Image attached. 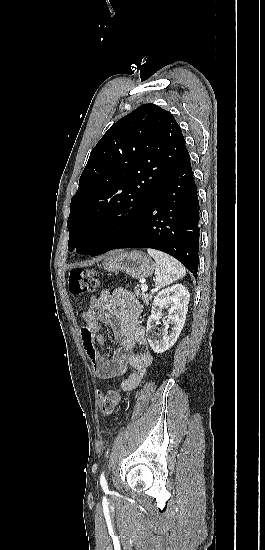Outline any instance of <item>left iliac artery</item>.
<instances>
[{
    "label": "left iliac artery",
    "instance_id": "44dca946",
    "mask_svg": "<svg viewBox=\"0 0 265 550\" xmlns=\"http://www.w3.org/2000/svg\"><path fill=\"white\" fill-rule=\"evenodd\" d=\"M100 483H101V485H106L107 484L105 476H104V472H102V474H101Z\"/></svg>",
    "mask_w": 265,
    "mask_h": 550
}]
</instances>
